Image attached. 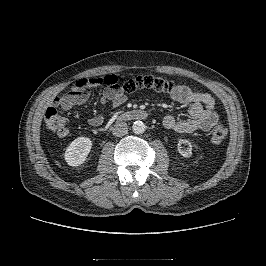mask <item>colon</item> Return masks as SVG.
Instances as JSON below:
<instances>
[{
  "instance_id": "colon-1",
  "label": "colon",
  "mask_w": 266,
  "mask_h": 266,
  "mask_svg": "<svg viewBox=\"0 0 266 266\" xmlns=\"http://www.w3.org/2000/svg\"><path fill=\"white\" fill-rule=\"evenodd\" d=\"M100 85L109 86L119 93H132L139 89H151L156 92L167 93L174 89L173 81L160 76H137L124 82H120L117 75L109 74L103 77H91L77 80L70 86V91L76 94H85L94 87ZM45 126L52 132H66L65 119L54 107H49L46 110ZM227 133L228 131L225 125L222 123L216 124L210 133V142L215 146L221 145L225 141Z\"/></svg>"
}]
</instances>
